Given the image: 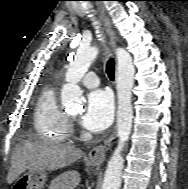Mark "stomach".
Wrapping results in <instances>:
<instances>
[{
    "instance_id": "obj_1",
    "label": "stomach",
    "mask_w": 188,
    "mask_h": 189,
    "mask_svg": "<svg viewBox=\"0 0 188 189\" xmlns=\"http://www.w3.org/2000/svg\"><path fill=\"white\" fill-rule=\"evenodd\" d=\"M95 165V163H92ZM47 180L45 171L28 170L13 184L12 189H42Z\"/></svg>"
}]
</instances>
